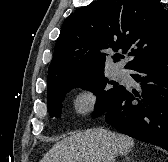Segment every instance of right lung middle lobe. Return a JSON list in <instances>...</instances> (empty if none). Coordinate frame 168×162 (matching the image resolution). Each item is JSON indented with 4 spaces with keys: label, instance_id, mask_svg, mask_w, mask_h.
I'll return each mask as SVG.
<instances>
[{
    "label": "right lung middle lobe",
    "instance_id": "dd1d6c3e",
    "mask_svg": "<svg viewBox=\"0 0 168 162\" xmlns=\"http://www.w3.org/2000/svg\"><path fill=\"white\" fill-rule=\"evenodd\" d=\"M109 84L113 86L111 87ZM76 87L89 90L97 95L94 111L95 117L105 113L124 88L122 85L109 81L104 76V71L55 82L49 85L47 89L48 111L51 117L59 118L61 116L62 102L66 93Z\"/></svg>",
    "mask_w": 168,
    "mask_h": 162
}]
</instances>
